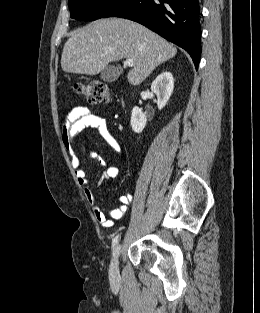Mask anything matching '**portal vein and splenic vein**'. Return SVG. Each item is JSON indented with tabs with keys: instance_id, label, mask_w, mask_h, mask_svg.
Instances as JSON below:
<instances>
[{
	"instance_id": "18ae733b",
	"label": "portal vein and splenic vein",
	"mask_w": 260,
	"mask_h": 313,
	"mask_svg": "<svg viewBox=\"0 0 260 313\" xmlns=\"http://www.w3.org/2000/svg\"><path fill=\"white\" fill-rule=\"evenodd\" d=\"M125 65H127L128 67H133V60L132 59H126Z\"/></svg>"
}]
</instances>
